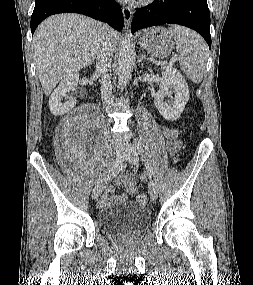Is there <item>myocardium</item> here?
I'll use <instances>...</instances> for the list:
<instances>
[{
    "label": "myocardium",
    "mask_w": 253,
    "mask_h": 285,
    "mask_svg": "<svg viewBox=\"0 0 253 285\" xmlns=\"http://www.w3.org/2000/svg\"><path fill=\"white\" fill-rule=\"evenodd\" d=\"M143 4H149L153 2L154 0H140Z\"/></svg>",
    "instance_id": "obj_1"
}]
</instances>
